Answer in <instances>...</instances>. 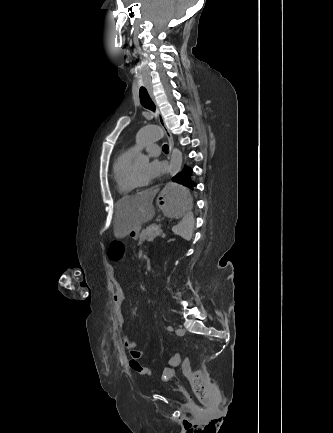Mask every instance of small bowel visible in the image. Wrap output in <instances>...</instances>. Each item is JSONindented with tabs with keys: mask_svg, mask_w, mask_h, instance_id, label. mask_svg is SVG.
Segmentation results:
<instances>
[{
	"mask_svg": "<svg viewBox=\"0 0 333 433\" xmlns=\"http://www.w3.org/2000/svg\"><path fill=\"white\" fill-rule=\"evenodd\" d=\"M112 298L117 310L118 322L123 325L125 319L122 313V305L125 301V293L121 283L116 278L113 279ZM122 344L129 351L130 360H135L140 363L139 360L142 357L143 352L137 348L136 342L132 341L128 336L125 335L122 338ZM172 372H174V370H172Z\"/></svg>",
	"mask_w": 333,
	"mask_h": 433,
	"instance_id": "1",
	"label": "small bowel"
}]
</instances>
